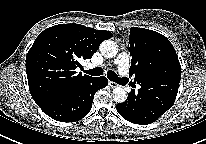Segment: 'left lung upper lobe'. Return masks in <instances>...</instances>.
<instances>
[{
	"label": "left lung upper lobe",
	"instance_id": "obj_1",
	"mask_svg": "<svg viewBox=\"0 0 206 144\" xmlns=\"http://www.w3.org/2000/svg\"><path fill=\"white\" fill-rule=\"evenodd\" d=\"M132 56L129 73L134 83L145 86L148 95L171 93L175 96L181 79V66L171 42L162 34L131 28L129 36Z\"/></svg>",
	"mask_w": 206,
	"mask_h": 144
}]
</instances>
